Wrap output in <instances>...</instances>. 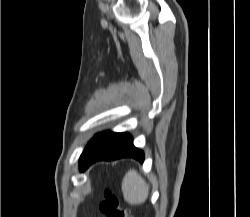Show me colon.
Instances as JSON below:
<instances>
[{"mask_svg":"<svg viewBox=\"0 0 250 217\" xmlns=\"http://www.w3.org/2000/svg\"><path fill=\"white\" fill-rule=\"evenodd\" d=\"M99 208L104 217H130L129 210L111 190L104 191Z\"/></svg>","mask_w":250,"mask_h":217,"instance_id":"1","label":"colon"}]
</instances>
